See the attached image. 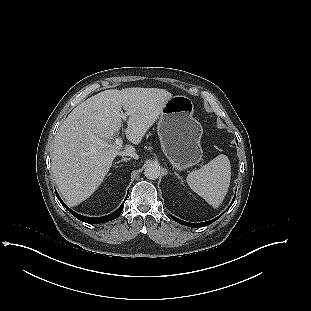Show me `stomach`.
Returning a JSON list of instances; mask_svg holds the SVG:
<instances>
[{"instance_id": "obj_1", "label": "stomach", "mask_w": 311, "mask_h": 311, "mask_svg": "<svg viewBox=\"0 0 311 311\" xmlns=\"http://www.w3.org/2000/svg\"><path fill=\"white\" fill-rule=\"evenodd\" d=\"M193 113L192 100L183 95L171 97L160 113L157 132L161 148L177 170L199 163L203 156L200 144L203 130Z\"/></svg>"}]
</instances>
